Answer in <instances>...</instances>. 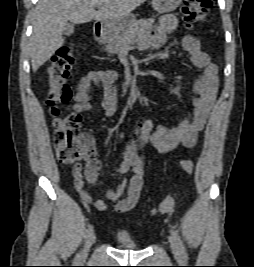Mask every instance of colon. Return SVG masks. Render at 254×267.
I'll return each instance as SVG.
<instances>
[{
	"label": "colon",
	"instance_id": "obj_1",
	"mask_svg": "<svg viewBox=\"0 0 254 267\" xmlns=\"http://www.w3.org/2000/svg\"><path fill=\"white\" fill-rule=\"evenodd\" d=\"M211 5L212 0H185L182 6L184 20L189 24L204 21ZM74 63V51L70 45L60 47L52 57L47 69V104L53 116V144L57 158L61 163L75 166L80 161L90 162L97 158L92 139L81 131V116L76 113L66 114L63 109L72 96L67 79ZM179 166L186 173L193 171V163L190 160H181ZM174 203L175 198L170 194L152 210V213H167Z\"/></svg>",
	"mask_w": 254,
	"mask_h": 267
}]
</instances>
